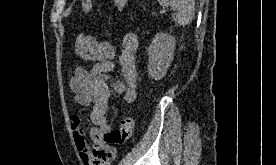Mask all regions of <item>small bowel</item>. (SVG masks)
Returning a JSON list of instances; mask_svg holds the SVG:
<instances>
[{
	"mask_svg": "<svg viewBox=\"0 0 276 165\" xmlns=\"http://www.w3.org/2000/svg\"><path fill=\"white\" fill-rule=\"evenodd\" d=\"M138 44V37L134 33H127L122 38L118 61L123 79L114 81L113 90L122 95L126 103H133L136 99L135 54ZM113 70L114 63L105 60L91 67H77L69 80V87L75 94V102L91 109L90 120L93 126L89 135L93 141L92 146L85 138L82 118L77 114L70 117L74 142L83 165H110L115 157L114 149L103 142V136L112 128L107 113L110 97L108 80Z\"/></svg>",
	"mask_w": 276,
	"mask_h": 165,
	"instance_id": "1",
	"label": "small bowel"
}]
</instances>
